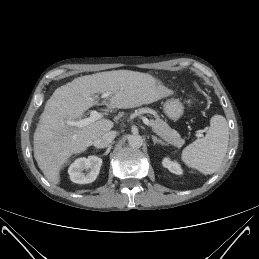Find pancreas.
<instances>
[{
    "instance_id": "obj_1",
    "label": "pancreas",
    "mask_w": 259,
    "mask_h": 259,
    "mask_svg": "<svg viewBox=\"0 0 259 259\" xmlns=\"http://www.w3.org/2000/svg\"><path fill=\"white\" fill-rule=\"evenodd\" d=\"M138 111H139V114L147 113V114L154 115L155 120H151L150 122L151 127L153 131L157 135H159L162 139H164L168 144H171L177 148H181L184 145L185 140L181 138V136L179 135V133H177V131L170 128L166 122L160 119V117L155 111H153L150 108H142V109H139Z\"/></svg>"
}]
</instances>
